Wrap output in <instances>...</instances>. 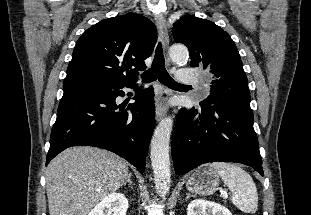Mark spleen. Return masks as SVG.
I'll return each mask as SVG.
<instances>
[{"mask_svg":"<svg viewBox=\"0 0 311 215\" xmlns=\"http://www.w3.org/2000/svg\"><path fill=\"white\" fill-rule=\"evenodd\" d=\"M210 169L215 171L231 191V201L241 211L254 213L258 207L256 185L246 171L235 164L214 162Z\"/></svg>","mask_w":311,"mask_h":215,"instance_id":"obj_1","label":"spleen"}]
</instances>
